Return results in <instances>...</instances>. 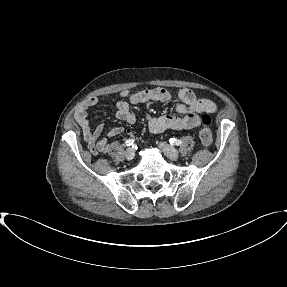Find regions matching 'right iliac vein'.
Here are the masks:
<instances>
[{"label": "right iliac vein", "mask_w": 287, "mask_h": 287, "mask_svg": "<svg viewBox=\"0 0 287 287\" xmlns=\"http://www.w3.org/2000/svg\"><path fill=\"white\" fill-rule=\"evenodd\" d=\"M135 156V152L132 148H128L126 151H125V157L127 160H132Z\"/></svg>", "instance_id": "obj_1"}]
</instances>
